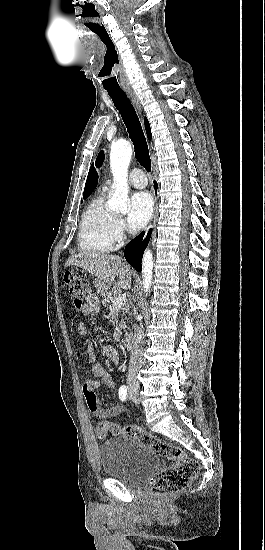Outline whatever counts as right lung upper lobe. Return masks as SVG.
<instances>
[{"label": "right lung upper lobe", "instance_id": "1", "mask_svg": "<svg viewBox=\"0 0 265 550\" xmlns=\"http://www.w3.org/2000/svg\"><path fill=\"white\" fill-rule=\"evenodd\" d=\"M144 124H145V129H146L148 138L151 139L150 125L146 118H144ZM97 182H98V174L92 164L88 173L86 184H85L83 198H87L92 193L93 189L97 185Z\"/></svg>", "mask_w": 265, "mask_h": 550}]
</instances>
